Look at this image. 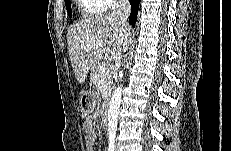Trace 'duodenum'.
<instances>
[{"label":"duodenum","mask_w":231,"mask_h":151,"mask_svg":"<svg viewBox=\"0 0 231 151\" xmlns=\"http://www.w3.org/2000/svg\"><path fill=\"white\" fill-rule=\"evenodd\" d=\"M109 106H110V99L109 97H106L104 100L102 115H101L102 125L104 127L107 126V122H108Z\"/></svg>","instance_id":"410a0bca"}]
</instances>
